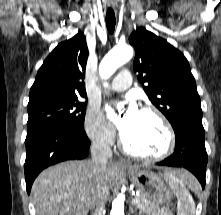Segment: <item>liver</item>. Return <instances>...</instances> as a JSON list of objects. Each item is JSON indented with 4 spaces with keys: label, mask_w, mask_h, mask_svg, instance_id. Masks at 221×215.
Returning <instances> with one entry per match:
<instances>
[{
    "label": "liver",
    "mask_w": 221,
    "mask_h": 215,
    "mask_svg": "<svg viewBox=\"0 0 221 215\" xmlns=\"http://www.w3.org/2000/svg\"><path fill=\"white\" fill-rule=\"evenodd\" d=\"M118 175V166L108 162L104 178L108 190L115 185ZM96 186L91 161H68L49 167L39 174L31 189L36 214L87 215Z\"/></svg>",
    "instance_id": "obj_1"
}]
</instances>
